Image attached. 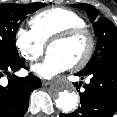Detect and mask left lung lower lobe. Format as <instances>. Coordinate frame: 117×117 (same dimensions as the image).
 <instances>
[{"instance_id": "1", "label": "left lung lower lobe", "mask_w": 117, "mask_h": 117, "mask_svg": "<svg viewBox=\"0 0 117 117\" xmlns=\"http://www.w3.org/2000/svg\"><path fill=\"white\" fill-rule=\"evenodd\" d=\"M75 75L81 79L90 76V83L84 84L85 91L80 93L81 106L73 113L60 114V117H112L117 111V55L86 73ZM74 85L79 88L78 83Z\"/></svg>"}]
</instances>
